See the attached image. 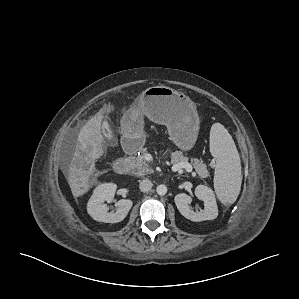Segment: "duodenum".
Returning <instances> with one entry per match:
<instances>
[{"mask_svg":"<svg viewBox=\"0 0 299 299\" xmlns=\"http://www.w3.org/2000/svg\"><path fill=\"white\" fill-rule=\"evenodd\" d=\"M124 148L127 154L132 155L136 152V142L135 139L131 137H126L124 140ZM128 161L127 159L118 160L114 165V171L118 175H125L128 172Z\"/></svg>","mask_w":299,"mask_h":299,"instance_id":"1","label":"duodenum"}]
</instances>
